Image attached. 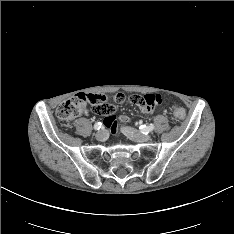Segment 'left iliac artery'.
<instances>
[{
  "instance_id": "obj_1",
  "label": "left iliac artery",
  "mask_w": 234,
  "mask_h": 234,
  "mask_svg": "<svg viewBox=\"0 0 234 234\" xmlns=\"http://www.w3.org/2000/svg\"><path fill=\"white\" fill-rule=\"evenodd\" d=\"M154 125L153 124H150V125H141L139 127V129L141 130V132L143 134H148L149 132L153 131L154 130Z\"/></svg>"
}]
</instances>
